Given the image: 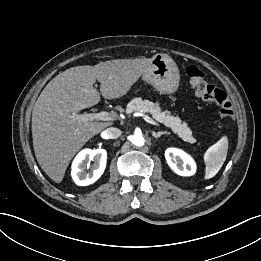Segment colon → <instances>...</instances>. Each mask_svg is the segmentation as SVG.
I'll use <instances>...</instances> for the list:
<instances>
[{"label":"colon","instance_id":"colon-1","mask_svg":"<svg viewBox=\"0 0 261 261\" xmlns=\"http://www.w3.org/2000/svg\"><path fill=\"white\" fill-rule=\"evenodd\" d=\"M186 75L195 95L204 101L216 104L219 107L221 118L224 122H230L234 117L232 103L227 94L208 83L204 72L197 66L190 65L186 68ZM224 124L221 125L223 127Z\"/></svg>","mask_w":261,"mask_h":261}]
</instances>
